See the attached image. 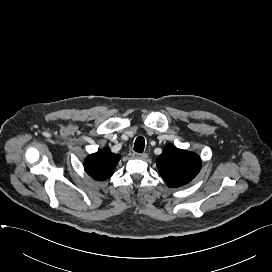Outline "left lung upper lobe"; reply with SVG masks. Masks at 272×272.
I'll list each match as a JSON object with an SVG mask.
<instances>
[{
    "mask_svg": "<svg viewBox=\"0 0 272 272\" xmlns=\"http://www.w3.org/2000/svg\"><path fill=\"white\" fill-rule=\"evenodd\" d=\"M156 164L160 175L170 187L187 184L201 168V160L196 153L178 149L174 145L164 148Z\"/></svg>",
    "mask_w": 272,
    "mask_h": 272,
    "instance_id": "1",
    "label": "left lung upper lobe"
}]
</instances>
